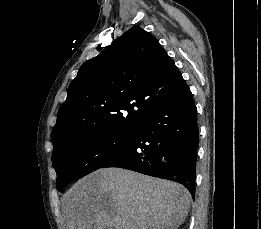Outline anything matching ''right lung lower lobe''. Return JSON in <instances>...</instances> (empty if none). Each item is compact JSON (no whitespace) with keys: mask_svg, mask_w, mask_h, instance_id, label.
Wrapping results in <instances>:
<instances>
[{"mask_svg":"<svg viewBox=\"0 0 261 229\" xmlns=\"http://www.w3.org/2000/svg\"><path fill=\"white\" fill-rule=\"evenodd\" d=\"M199 129L185 81L140 125L129 147L102 168L119 167L182 184L195 199Z\"/></svg>","mask_w":261,"mask_h":229,"instance_id":"98d812e1","label":"right lung lower lobe"}]
</instances>
